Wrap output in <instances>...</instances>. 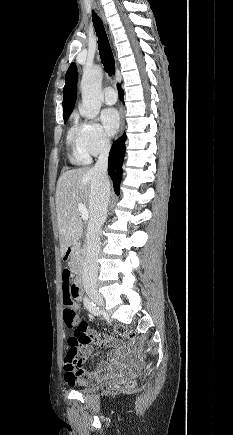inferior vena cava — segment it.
Masks as SVG:
<instances>
[{
  "label": "inferior vena cava",
  "instance_id": "1",
  "mask_svg": "<svg viewBox=\"0 0 233 435\" xmlns=\"http://www.w3.org/2000/svg\"><path fill=\"white\" fill-rule=\"evenodd\" d=\"M110 142L102 141L100 154L92 168L91 193L89 202L90 218L87 227V250L82 272L84 289L96 287L98 275V255L100 251V229L106 221L110 198V182L107 175Z\"/></svg>",
  "mask_w": 233,
  "mask_h": 435
}]
</instances>
